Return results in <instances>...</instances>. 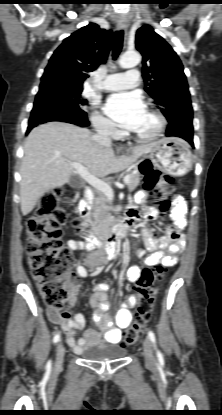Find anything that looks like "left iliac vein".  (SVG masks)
Listing matches in <instances>:
<instances>
[{
	"instance_id": "4c4485c4",
	"label": "left iliac vein",
	"mask_w": 222,
	"mask_h": 415,
	"mask_svg": "<svg viewBox=\"0 0 222 415\" xmlns=\"http://www.w3.org/2000/svg\"><path fill=\"white\" fill-rule=\"evenodd\" d=\"M143 353L145 361L148 365H151L154 363V357H153V347L151 340L149 338H145L143 342Z\"/></svg>"
}]
</instances>
